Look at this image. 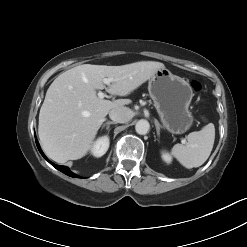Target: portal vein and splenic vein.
<instances>
[{
	"mask_svg": "<svg viewBox=\"0 0 247 247\" xmlns=\"http://www.w3.org/2000/svg\"><path fill=\"white\" fill-rule=\"evenodd\" d=\"M114 81V78H104L103 82L106 84V85H109L111 82ZM106 95L103 93V92H99L98 93V97L103 99ZM182 143L185 144V140L182 139Z\"/></svg>",
	"mask_w": 247,
	"mask_h": 247,
	"instance_id": "18ae733b",
	"label": "portal vein and splenic vein"
}]
</instances>
